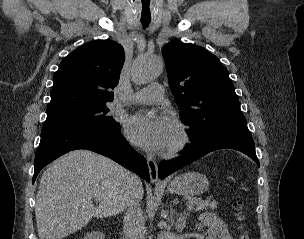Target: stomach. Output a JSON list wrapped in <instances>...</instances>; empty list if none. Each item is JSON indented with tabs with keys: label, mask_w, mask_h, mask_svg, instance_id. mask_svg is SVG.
I'll list each match as a JSON object with an SVG mask.
<instances>
[{
	"label": "stomach",
	"mask_w": 304,
	"mask_h": 239,
	"mask_svg": "<svg viewBox=\"0 0 304 239\" xmlns=\"http://www.w3.org/2000/svg\"><path fill=\"white\" fill-rule=\"evenodd\" d=\"M208 186L209 180L204 174L191 171L173 178L167 190L177 195L196 196L204 193Z\"/></svg>",
	"instance_id": "obj_1"
}]
</instances>
